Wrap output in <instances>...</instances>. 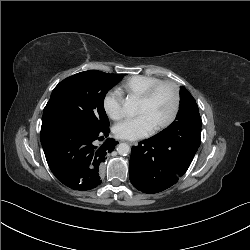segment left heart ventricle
I'll return each instance as SVG.
<instances>
[{
  "label": "left heart ventricle",
  "mask_w": 250,
  "mask_h": 250,
  "mask_svg": "<svg viewBox=\"0 0 250 250\" xmlns=\"http://www.w3.org/2000/svg\"><path fill=\"white\" fill-rule=\"evenodd\" d=\"M173 104V92L169 87L164 86L156 92L150 101H138L136 114L145 115L154 128L167 120L172 112Z\"/></svg>",
  "instance_id": "1"
}]
</instances>
